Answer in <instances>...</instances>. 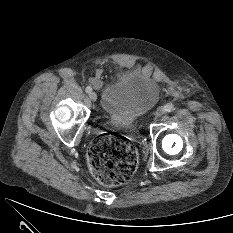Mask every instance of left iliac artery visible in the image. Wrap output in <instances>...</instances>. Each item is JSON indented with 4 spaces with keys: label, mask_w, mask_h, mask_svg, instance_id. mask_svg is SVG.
<instances>
[{
    "label": "left iliac artery",
    "mask_w": 233,
    "mask_h": 233,
    "mask_svg": "<svg viewBox=\"0 0 233 233\" xmlns=\"http://www.w3.org/2000/svg\"><path fill=\"white\" fill-rule=\"evenodd\" d=\"M173 110H174V105H173V104L168 103V104L165 106V111H166V112H172Z\"/></svg>",
    "instance_id": "left-iliac-artery-1"
}]
</instances>
